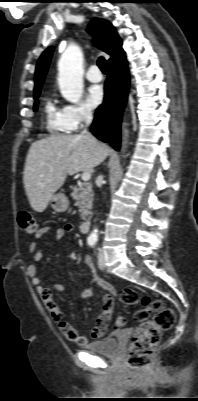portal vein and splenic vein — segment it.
Listing matches in <instances>:
<instances>
[{
    "instance_id": "18ae733b",
    "label": "portal vein and splenic vein",
    "mask_w": 198,
    "mask_h": 401,
    "mask_svg": "<svg viewBox=\"0 0 198 401\" xmlns=\"http://www.w3.org/2000/svg\"><path fill=\"white\" fill-rule=\"evenodd\" d=\"M81 178H82V180H83L84 182L89 181L90 178H91L90 172H84V173L82 174Z\"/></svg>"
}]
</instances>
